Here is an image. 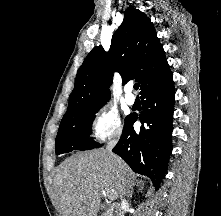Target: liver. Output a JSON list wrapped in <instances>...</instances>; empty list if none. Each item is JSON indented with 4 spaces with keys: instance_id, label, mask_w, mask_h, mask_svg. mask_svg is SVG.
Listing matches in <instances>:
<instances>
[{
    "instance_id": "6515ba94",
    "label": "liver",
    "mask_w": 221,
    "mask_h": 216,
    "mask_svg": "<svg viewBox=\"0 0 221 216\" xmlns=\"http://www.w3.org/2000/svg\"><path fill=\"white\" fill-rule=\"evenodd\" d=\"M134 178L125 162L107 149L72 155L56 170L61 216H97L101 192L112 193V200L123 197Z\"/></svg>"
}]
</instances>
